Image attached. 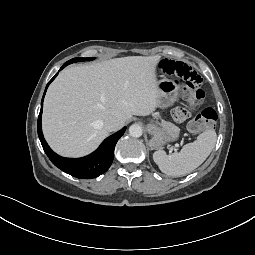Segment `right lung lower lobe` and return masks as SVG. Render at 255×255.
Returning a JSON list of instances; mask_svg holds the SVG:
<instances>
[{"mask_svg":"<svg viewBox=\"0 0 255 255\" xmlns=\"http://www.w3.org/2000/svg\"><path fill=\"white\" fill-rule=\"evenodd\" d=\"M71 63L72 61L70 60L67 61L60 68V70H62L64 67H66L67 65ZM57 74L58 73H56L55 76L47 84L45 92L47 90V87L52 82V80L57 76ZM45 92H44V95H45ZM44 95L42 98L41 110L38 117L37 127H38V136L41 141L42 147L46 155L51 160V162L62 171L80 179H92L106 172L113 161L115 145L117 141L119 140V138L124 134L126 127H124L120 131L116 132L115 134L105 139L102 142V144L99 146V148L88 156H85L83 158L61 157L57 155L54 151H52V149L48 146L42 133L41 114H42Z\"/></svg>","mask_w":255,"mask_h":255,"instance_id":"1","label":"right lung lower lobe"}]
</instances>
